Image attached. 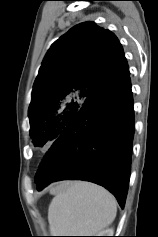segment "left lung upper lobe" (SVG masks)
Returning a JSON list of instances; mask_svg holds the SVG:
<instances>
[{"instance_id":"obj_1","label":"left lung upper lobe","mask_w":158,"mask_h":237,"mask_svg":"<svg viewBox=\"0 0 158 237\" xmlns=\"http://www.w3.org/2000/svg\"><path fill=\"white\" fill-rule=\"evenodd\" d=\"M129 74L117 37L94 22L71 28L48 50L29 106L35 146L56 139L93 96ZM42 179L37 172L36 183Z\"/></svg>"}]
</instances>
